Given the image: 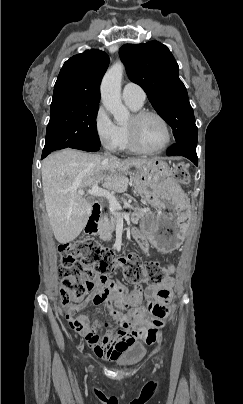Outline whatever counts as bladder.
Returning <instances> with one entry per match:
<instances>
[{"mask_svg":"<svg viewBox=\"0 0 243 404\" xmlns=\"http://www.w3.org/2000/svg\"><path fill=\"white\" fill-rule=\"evenodd\" d=\"M146 354V347L139 342L133 343L119 355L116 362L125 367L133 366L140 362Z\"/></svg>","mask_w":243,"mask_h":404,"instance_id":"obj_1","label":"bladder"}]
</instances>
